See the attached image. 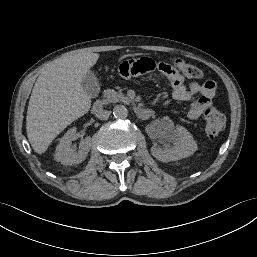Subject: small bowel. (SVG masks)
<instances>
[{"label":"small bowel","instance_id":"1","mask_svg":"<svg viewBox=\"0 0 257 257\" xmlns=\"http://www.w3.org/2000/svg\"><path fill=\"white\" fill-rule=\"evenodd\" d=\"M152 76H160L171 83L172 97L175 100L188 101L197 98L186 112V117L190 120L200 118L212 104L216 92L212 81L197 84L193 78L185 80V75L179 69L173 68L168 61L156 63L154 59L140 55L134 60L125 58L117 66V78L122 83L144 80Z\"/></svg>","mask_w":257,"mask_h":257}]
</instances>
